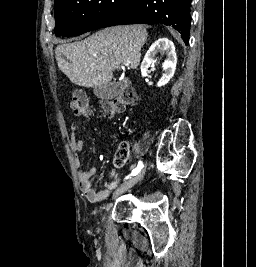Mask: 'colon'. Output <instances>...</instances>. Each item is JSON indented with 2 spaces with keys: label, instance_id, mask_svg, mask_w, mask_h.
<instances>
[{
  "label": "colon",
  "instance_id": "colon-1",
  "mask_svg": "<svg viewBox=\"0 0 256 267\" xmlns=\"http://www.w3.org/2000/svg\"><path fill=\"white\" fill-rule=\"evenodd\" d=\"M136 100L134 91L130 88L122 90L117 97L109 98L101 102V111L105 115H115L124 112L125 108L133 104ZM70 106L72 112L80 117L89 115L91 104L89 98L82 91H74L71 94ZM128 157L127 146H121L116 154V163L123 164Z\"/></svg>",
  "mask_w": 256,
  "mask_h": 267
}]
</instances>
